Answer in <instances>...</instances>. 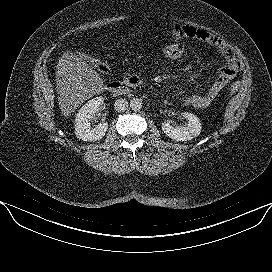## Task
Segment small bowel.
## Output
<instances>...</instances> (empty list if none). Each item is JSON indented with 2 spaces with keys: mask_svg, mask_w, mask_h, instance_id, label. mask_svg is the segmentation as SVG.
<instances>
[{
  "mask_svg": "<svg viewBox=\"0 0 272 272\" xmlns=\"http://www.w3.org/2000/svg\"><path fill=\"white\" fill-rule=\"evenodd\" d=\"M172 37L175 40L192 38L205 42L215 48L224 59V64L219 68L218 77L203 94H192L184 99L186 106L204 109L207 108L219 95V93L230 83L239 70V62L233 50L218 36L207 30L192 25H175L172 29Z\"/></svg>",
  "mask_w": 272,
  "mask_h": 272,
  "instance_id": "obj_1",
  "label": "small bowel"
}]
</instances>
